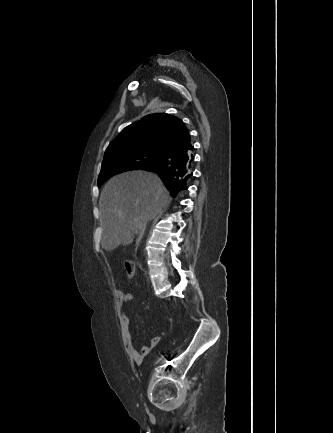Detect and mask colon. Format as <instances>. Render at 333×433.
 <instances>
[{
    "instance_id": "colon-1",
    "label": "colon",
    "mask_w": 333,
    "mask_h": 433,
    "mask_svg": "<svg viewBox=\"0 0 333 433\" xmlns=\"http://www.w3.org/2000/svg\"><path fill=\"white\" fill-rule=\"evenodd\" d=\"M124 268H125L126 274L129 278L134 276L136 266H135L133 261H130V260L125 261Z\"/></svg>"
}]
</instances>
